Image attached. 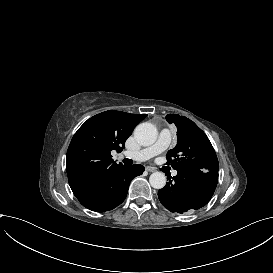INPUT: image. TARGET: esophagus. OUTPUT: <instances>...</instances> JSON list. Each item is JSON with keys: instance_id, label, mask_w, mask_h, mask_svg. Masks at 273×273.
Wrapping results in <instances>:
<instances>
[{"instance_id": "esophagus-1", "label": "esophagus", "mask_w": 273, "mask_h": 273, "mask_svg": "<svg viewBox=\"0 0 273 273\" xmlns=\"http://www.w3.org/2000/svg\"><path fill=\"white\" fill-rule=\"evenodd\" d=\"M145 170H146L147 172H150V173H152V172H155V171H156V169H155V168H153V167H149V166H147V167L145 168Z\"/></svg>"}]
</instances>
